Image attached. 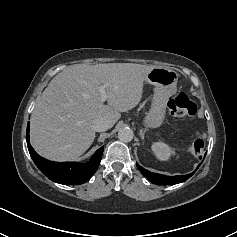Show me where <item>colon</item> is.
<instances>
[{
  "label": "colon",
  "mask_w": 237,
  "mask_h": 237,
  "mask_svg": "<svg viewBox=\"0 0 237 237\" xmlns=\"http://www.w3.org/2000/svg\"><path fill=\"white\" fill-rule=\"evenodd\" d=\"M168 111L171 115L177 117H193L197 112V105L192 102L185 93L179 92L171 97L167 104ZM205 149V136L194 140L188 150L193 155H201Z\"/></svg>",
  "instance_id": "5ec220e1"
}]
</instances>
